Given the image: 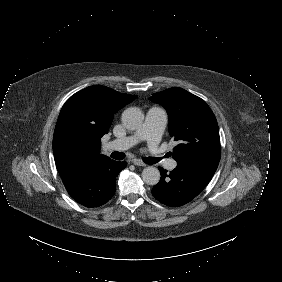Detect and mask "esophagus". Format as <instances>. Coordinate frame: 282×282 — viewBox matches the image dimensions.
<instances>
[{"label": "esophagus", "instance_id": "1", "mask_svg": "<svg viewBox=\"0 0 282 282\" xmlns=\"http://www.w3.org/2000/svg\"><path fill=\"white\" fill-rule=\"evenodd\" d=\"M132 163H133L134 165H137V166H142V167H145V166H146V164H145L142 160H139V159H133V160H132Z\"/></svg>", "mask_w": 282, "mask_h": 282}]
</instances>
